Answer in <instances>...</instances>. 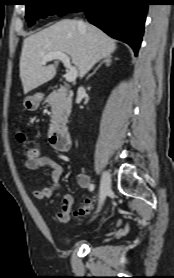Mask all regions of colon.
<instances>
[{"label":"colon","instance_id":"colon-1","mask_svg":"<svg viewBox=\"0 0 174 278\" xmlns=\"http://www.w3.org/2000/svg\"><path fill=\"white\" fill-rule=\"evenodd\" d=\"M19 142H24L25 137L23 134L18 135ZM39 155V151L36 148L28 147L23 149L22 156L24 161L32 160ZM92 208V200H87L83 205H81L77 211V214L80 216L86 215L90 212Z\"/></svg>","mask_w":174,"mask_h":278}]
</instances>
